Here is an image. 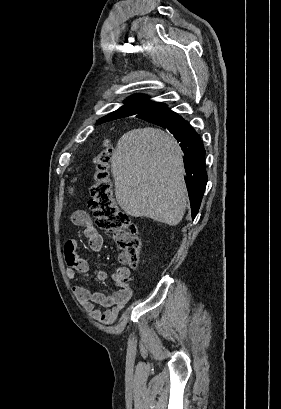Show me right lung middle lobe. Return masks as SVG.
Returning <instances> with one entry per match:
<instances>
[{"label": "right lung middle lobe", "instance_id": "obj_1", "mask_svg": "<svg viewBox=\"0 0 281 409\" xmlns=\"http://www.w3.org/2000/svg\"><path fill=\"white\" fill-rule=\"evenodd\" d=\"M179 119L180 117L163 116V117L152 118L148 121L153 124L159 125L163 128H166L167 126L177 122Z\"/></svg>", "mask_w": 281, "mask_h": 409}]
</instances>
